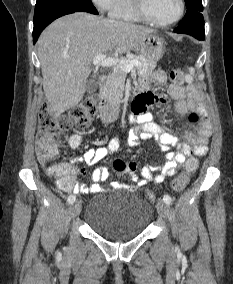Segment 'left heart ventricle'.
I'll return each mask as SVG.
<instances>
[{"label":"left heart ventricle","mask_w":233,"mask_h":284,"mask_svg":"<svg viewBox=\"0 0 233 284\" xmlns=\"http://www.w3.org/2000/svg\"><path fill=\"white\" fill-rule=\"evenodd\" d=\"M146 6L151 16L161 22L172 20L179 12L178 0H146Z\"/></svg>","instance_id":"b2bd125f"}]
</instances>
